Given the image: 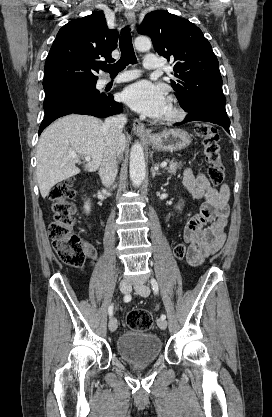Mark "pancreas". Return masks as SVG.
<instances>
[{"label":"pancreas","instance_id":"1","mask_svg":"<svg viewBox=\"0 0 272 417\" xmlns=\"http://www.w3.org/2000/svg\"><path fill=\"white\" fill-rule=\"evenodd\" d=\"M181 163H178L177 161H169V167L166 168L167 172L170 174H175L176 170L180 168Z\"/></svg>","mask_w":272,"mask_h":417}]
</instances>
